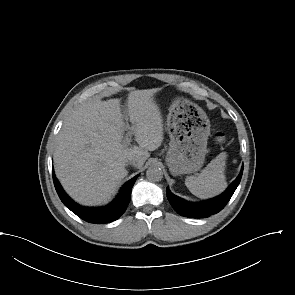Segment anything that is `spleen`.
<instances>
[{
  "label": "spleen",
  "mask_w": 295,
  "mask_h": 295,
  "mask_svg": "<svg viewBox=\"0 0 295 295\" xmlns=\"http://www.w3.org/2000/svg\"><path fill=\"white\" fill-rule=\"evenodd\" d=\"M227 154L220 153L213 159L198 176H188L185 185L189 191L201 198L207 199L219 195L227 188L225 180Z\"/></svg>",
  "instance_id": "3e777b00"
}]
</instances>
